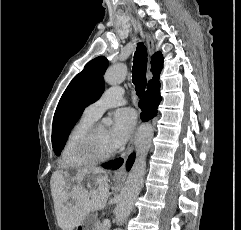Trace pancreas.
Instances as JSON below:
<instances>
[{"label":"pancreas","mask_w":241,"mask_h":230,"mask_svg":"<svg viewBox=\"0 0 241 230\" xmlns=\"http://www.w3.org/2000/svg\"><path fill=\"white\" fill-rule=\"evenodd\" d=\"M96 230H108L102 223H97Z\"/></svg>","instance_id":"1"}]
</instances>
